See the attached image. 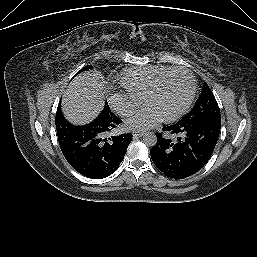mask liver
Returning <instances> with one entry per match:
<instances>
[{
    "mask_svg": "<svg viewBox=\"0 0 257 257\" xmlns=\"http://www.w3.org/2000/svg\"><path fill=\"white\" fill-rule=\"evenodd\" d=\"M105 80L100 71L77 75L64 91L62 111L74 125L94 120L104 107L102 99Z\"/></svg>",
    "mask_w": 257,
    "mask_h": 257,
    "instance_id": "obj_1",
    "label": "liver"
}]
</instances>
